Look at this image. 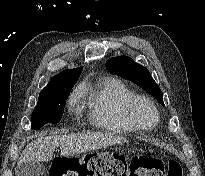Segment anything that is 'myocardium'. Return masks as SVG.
<instances>
[{
	"label": "myocardium",
	"mask_w": 205,
	"mask_h": 176,
	"mask_svg": "<svg viewBox=\"0 0 205 176\" xmlns=\"http://www.w3.org/2000/svg\"><path fill=\"white\" fill-rule=\"evenodd\" d=\"M145 104L148 107H150V109L154 112L155 116H156V120L155 123L152 125H143L137 118L136 116V110L137 107L141 104ZM125 114L127 119L134 125V127L136 129L139 130H150L153 127H155L156 125H158V123L160 122V113L158 108L156 107V105L154 104V102L141 94H135L133 95L126 103L125 106Z\"/></svg>",
	"instance_id": "myocardium-1"
}]
</instances>
